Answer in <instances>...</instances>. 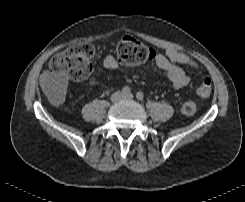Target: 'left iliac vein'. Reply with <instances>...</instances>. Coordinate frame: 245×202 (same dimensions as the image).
Returning <instances> with one entry per match:
<instances>
[{"mask_svg":"<svg viewBox=\"0 0 245 202\" xmlns=\"http://www.w3.org/2000/svg\"><path fill=\"white\" fill-rule=\"evenodd\" d=\"M123 99L132 100L133 99V95L132 94L125 95V96H123Z\"/></svg>","mask_w":245,"mask_h":202,"instance_id":"obj_1","label":"left iliac vein"}]
</instances>
